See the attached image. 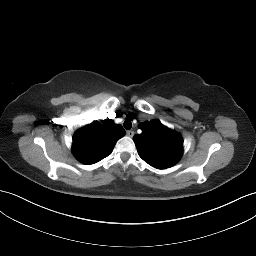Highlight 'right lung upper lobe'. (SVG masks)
<instances>
[{
  "mask_svg": "<svg viewBox=\"0 0 256 256\" xmlns=\"http://www.w3.org/2000/svg\"><path fill=\"white\" fill-rule=\"evenodd\" d=\"M125 135L111 119L93 121L73 136L72 152L84 164H94L110 155L118 139Z\"/></svg>",
  "mask_w": 256,
  "mask_h": 256,
  "instance_id": "cb5924a9",
  "label": "right lung upper lobe"
}]
</instances>
